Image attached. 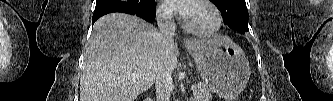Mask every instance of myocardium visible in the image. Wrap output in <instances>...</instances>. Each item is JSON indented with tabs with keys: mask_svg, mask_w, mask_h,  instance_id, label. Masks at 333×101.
<instances>
[{
	"mask_svg": "<svg viewBox=\"0 0 333 101\" xmlns=\"http://www.w3.org/2000/svg\"><path fill=\"white\" fill-rule=\"evenodd\" d=\"M194 2L201 3V4L209 7L211 9V11L213 12L214 16H215V23L209 29H196V28H193L192 26H190L188 24V22L186 21L185 17H183L182 27L187 32L192 33V34L197 35V36H208V35H212V34L218 32L220 30L221 26H222L223 20H222L221 12L217 8V6L209 0H196Z\"/></svg>",
	"mask_w": 333,
	"mask_h": 101,
	"instance_id": "obj_1",
	"label": "myocardium"
}]
</instances>
